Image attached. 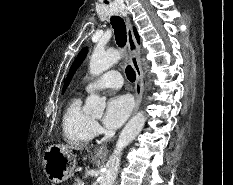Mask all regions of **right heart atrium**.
<instances>
[{
    "instance_id": "right-heart-atrium-1",
    "label": "right heart atrium",
    "mask_w": 233,
    "mask_h": 185,
    "mask_svg": "<svg viewBox=\"0 0 233 185\" xmlns=\"http://www.w3.org/2000/svg\"><path fill=\"white\" fill-rule=\"evenodd\" d=\"M101 131V128L99 126V124L95 121H93L92 123V133H93V136H96L100 133Z\"/></svg>"
}]
</instances>
